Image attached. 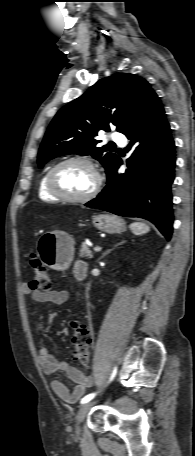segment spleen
Instances as JSON below:
<instances>
[{"label":"spleen","instance_id":"obj_1","mask_svg":"<svg viewBox=\"0 0 195 456\" xmlns=\"http://www.w3.org/2000/svg\"><path fill=\"white\" fill-rule=\"evenodd\" d=\"M130 230L135 235H143L150 230L149 225L143 222H133L130 224Z\"/></svg>","mask_w":195,"mask_h":456}]
</instances>
